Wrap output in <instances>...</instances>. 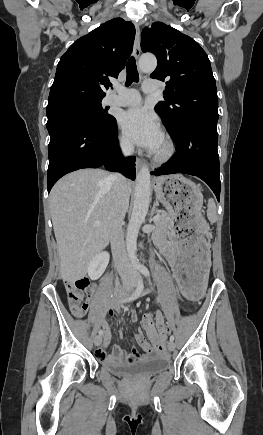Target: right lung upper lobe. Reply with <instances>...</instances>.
<instances>
[{"mask_svg":"<svg viewBox=\"0 0 263 435\" xmlns=\"http://www.w3.org/2000/svg\"><path fill=\"white\" fill-rule=\"evenodd\" d=\"M135 27L114 18L75 41L61 57L50 89L48 106L103 99L109 79L118 77L132 52Z\"/></svg>","mask_w":263,"mask_h":435,"instance_id":"obj_1","label":"right lung upper lobe"}]
</instances>
